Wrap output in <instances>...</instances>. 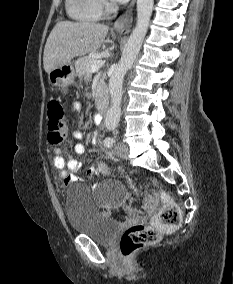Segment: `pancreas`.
Instances as JSON below:
<instances>
[{"mask_svg": "<svg viewBox=\"0 0 233 284\" xmlns=\"http://www.w3.org/2000/svg\"><path fill=\"white\" fill-rule=\"evenodd\" d=\"M93 60H97V58L92 55H89V56L81 57L75 62V69L79 77L87 76L89 74L91 70L90 61H93ZM105 97H106V93H105V83H104V75H103L98 83L97 99L100 101V100H104Z\"/></svg>", "mask_w": 233, "mask_h": 284, "instance_id": "1", "label": "pancreas"}]
</instances>
